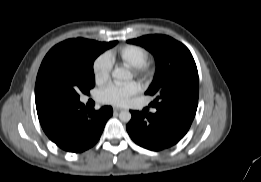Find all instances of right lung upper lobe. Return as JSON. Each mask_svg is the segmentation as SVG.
<instances>
[{"label": "right lung upper lobe", "mask_w": 261, "mask_h": 182, "mask_svg": "<svg viewBox=\"0 0 261 182\" xmlns=\"http://www.w3.org/2000/svg\"><path fill=\"white\" fill-rule=\"evenodd\" d=\"M86 41H89V40L83 39V38H77V39L66 40V41L62 42L61 44L79 45V44L85 43ZM35 100H36V109H37L38 116L43 114L45 111L49 110L50 108L54 107V105L42 101L36 95H35Z\"/></svg>", "instance_id": "obj_1"}]
</instances>
